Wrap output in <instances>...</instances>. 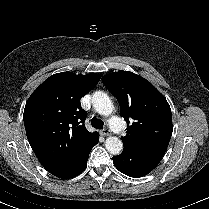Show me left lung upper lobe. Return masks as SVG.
Listing matches in <instances>:
<instances>
[{
	"instance_id": "1",
	"label": "left lung upper lobe",
	"mask_w": 209,
	"mask_h": 209,
	"mask_svg": "<svg viewBox=\"0 0 209 209\" xmlns=\"http://www.w3.org/2000/svg\"><path fill=\"white\" fill-rule=\"evenodd\" d=\"M102 80L117 97L121 116L128 122L127 135L122 137L124 149L162 157L173 131L171 109L165 97L132 72L111 73Z\"/></svg>"
}]
</instances>
